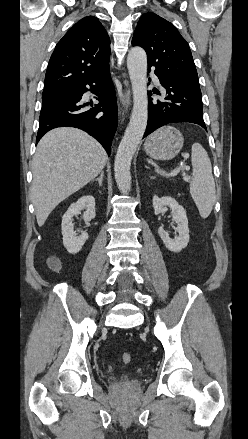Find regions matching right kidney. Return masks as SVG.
<instances>
[{"label": "right kidney", "instance_id": "1", "mask_svg": "<svg viewBox=\"0 0 248 439\" xmlns=\"http://www.w3.org/2000/svg\"><path fill=\"white\" fill-rule=\"evenodd\" d=\"M84 209L86 210L83 214L85 222H89L95 218V198L93 196L87 195L78 199L76 203L71 204L62 217L61 229L63 244L71 254L78 253L88 239V234L85 231H82L80 236H76L72 223L73 217L80 214L81 210Z\"/></svg>", "mask_w": 248, "mask_h": 439}]
</instances>
